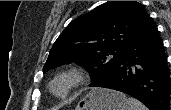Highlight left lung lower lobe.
<instances>
[{"label":"left lung lower lobe","mask_w":171,"mask_h":110,"mask_svg":"<svg viewBox=\"0 0 171 110\" xmlns=\"http://www.w3.org/2000/svg\"><path fill=\"white\" fill-rule=\"evenodd\" d=\"M97 87L131 95L150 110H170V71L163 41L150 18L143 33L126 49L115 69Z\"/></svg>","instance_id":"left-lung-lower-lobe-1"}]
</instances>
